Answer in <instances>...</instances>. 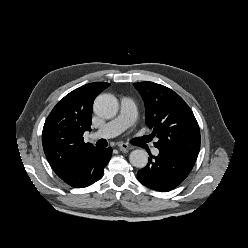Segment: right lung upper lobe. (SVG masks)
<instances>
[{"instance_id":"obj_1","label":"right lung upper lobe","mask_w":248,"mask_h":248,"mask_svg":"<svg viewBox=\"0 0 248 248\" xmlns=\"http://www.w3.org/2000/svg\"><path fill=\"white\" fill-rule=\"evenodd\" d=\"M109 83L94 82L67 94L47 117L42 144L54 172L59 176L69 172L91 149L84 143L83 134L90 131L93 101Z\"/></svg>"}]
</instances>
